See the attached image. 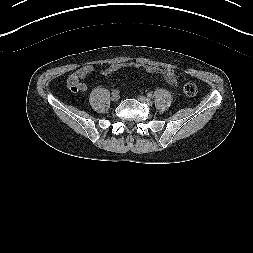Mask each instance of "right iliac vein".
I'll return each mask as SVG.
<instances>
[{
  "label": "right iliac vein",
  "instance_id": "63e3f726",
  "mask_svg": "<svg viewBox=\"0 0 253 253\" xmlns=\"http://www.w3.org/2000/svg\"><path fill=\"white\" fill-rule=\"evenodd\" d=\"M119 99V95L118 94H112L111 96V100L112 101H117Z\"/></svg>",
  "mask_w": 253,
  "mask_h": 253
}]
</instances>
